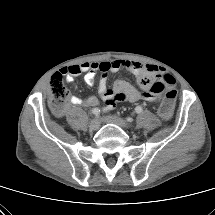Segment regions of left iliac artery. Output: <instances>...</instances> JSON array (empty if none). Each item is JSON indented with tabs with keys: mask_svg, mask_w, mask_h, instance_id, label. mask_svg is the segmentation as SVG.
Masks as SVG:
<instances>
[{
	"mask_svg": "<svg viewBox=\"0 0 215 215\" xmlns=\"http://www.w3.org/2000/svg\"><path fill=\"white\" fill-rule=\"evenodd\" d=\"M143 111V109H142V107L141 106H137L136 108H135V112L136 113H141ZM127 121H129V122H131L132 121V118H127Z\"/></svg>",
	"mask_w": 215,
	"mask_h": 215,
	"instance_id": "44dca946",
	"label": "left iliac artery"
}]
</instances>
